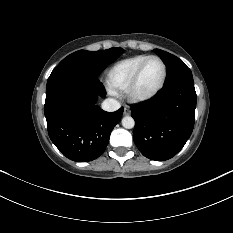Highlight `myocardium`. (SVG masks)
<instances>
[{"instance_id":"f54148a6","label":"myocardium","mask_w":233,"mask_h":233,"mask_svg":"<svg viewBox=\"0 0 233 233\" xmlns=\"http://www.w3.org/2000/svg\"><path fill=\"white\" fill-rule=\"evenodd\" d=\"M152 59H157L161 62L162 67H163L162 79H161L159 85L153 91H151L147 94H139L136 91L137 84H138L139 79L141 77V74L145 68V65L148 63V61H150ZM166 79H167V65H166L165 61L157 55H150L142 61V63L139 65V67L135 71L132 79L130 80V82L126 88V91H125L126 96H127L128 100H130L131 102H134V103H141V102H146L148 100H151L162 90V88L165 85Z\"/></svg>"}]
</instances>
